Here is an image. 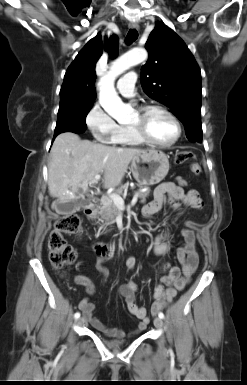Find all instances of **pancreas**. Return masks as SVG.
I'll list each match as a JSON object with an SVG mask.
<instances>
[{"mask_svg": "<svg viewBox=\"0 0 247 385\" xmlns=\"http://www.w3.org/2000/svg\"><path fill=\"white\" fill-rule=\"evenodd\" d=\"M127 186H122L120 189L115 191V194L117 195H123L124 190H126ZM140 188H143V186H140ZM135 194H138V197L140 198L141 203L146 202V198L150 194V190L146 191H138ZM119 213L118 207L114 204L113 200L109 197H105L101 200V207L99 211V216L101 220L108 222H113L116 218V216Z\"/></svg>", "mask_w": 247, "mask_h": 385, "instance_id": "1", "label": "pancreas"}]
</instances>
